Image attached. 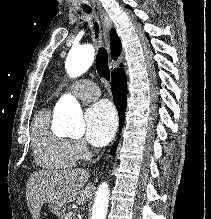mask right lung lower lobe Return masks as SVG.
<instances>
[{"label":"right lung lower lobe","mask_w":211,"mask_h":219,"mask_svg":"<svg viewBox=\"0 0 211 219\" xmlns=\"http://www.w3.org/2000/svg\"><path fill=\"white\" fill-rule=\"evenodd\" d=\"M111 89L114 97V102L118 110L119 120H120V130L125 118L126 100H127V85L126 77L122 70H114L112 72V83ZM117 143H114L111 155H114Z\"/></svg>","instance_id":"obj_1"}]
</instances>
